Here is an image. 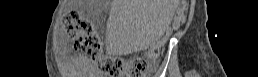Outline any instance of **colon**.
Instances as JSON below:
<instances>
[{"label": "colon", "mask_w": 258, "mask_h": 77, "mask_svg": "<svg viewBox=\"0 0 258 77\" xmlns=\"http://www.w3.org/2000/svg\"><path fill=\"white\" fill-rule=\"evenodd\" d=\"M66 34L74 39L75 52L80 58L95 61L99 72L119 74L126 71L129 76L142 77L148 72V63L143 58L123 59L101 53V45L93 25L80 18L76 12H68L62 18Z\"/></svg>", "instance_id": "1"}]
</instances>
